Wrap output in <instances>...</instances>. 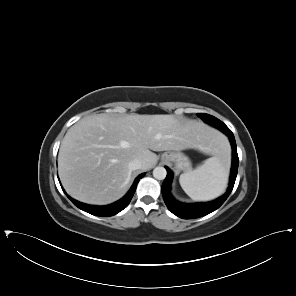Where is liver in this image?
I'll return each instance as SVG.
<instances>
[{"label":"liver","mask_w":296,"mask_h":296,"mask_svg":"<svg viewBox=\"0 0 296 296\" xmlns=\"http://www.w3.org/2000/svg\"><path fill=\"white\" fill-rule=\"evenodd\" d=\"M219 142L223 138L197 120L173 115H93L66 133L59 150L58 173L71 197L106 205L127 191L132 160L140 159L141 169L149 170L158 161L152 151L197 149L214 154Z\"/></svg>","instance_id":"obj_1"}]
</instances>
